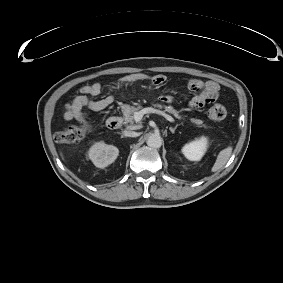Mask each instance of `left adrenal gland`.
<instances>
[{
    "label": "left adrenal gland",
    "instance_id": "left-adrenal-gland-1",
    "mask_svg": "<svg viewBox=\"0 0 283 283\" xmlns=\"http://www.w3.org/2000/svg\"><path fill=\"white\" fill-rule=\"evenodd\" d=\"M177 127H178V124L174 128L169 127V130L171 131L172 134L175 133V130L177 129Z\"/></svg>",
    "mask_w": 283,
    "mask_h": 283
}]
</instances>
